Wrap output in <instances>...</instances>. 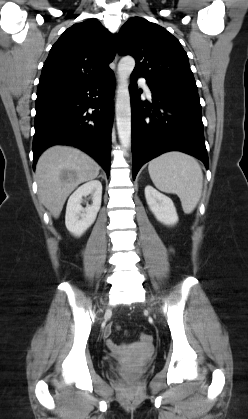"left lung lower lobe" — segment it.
<instances>
[{"instance_id": "left-lung-lower-lobe-1", "label": "left lung lower lobe", "mask_w": 248, "mask_h": 419, "mask_svg": "<svg viewBox=\"0 0 248 419\" xmlns=\"http://www.w3.org/2000/svg\"><path fill=\"white\" fill-rule=\"evenodd\" d=\"M131 74L133 179L143 164L168 151H182L202 160L208 168L201 105L198 93L163 90L148 83L152 102L140 100Z\"/></svg>"}]
</instances>
